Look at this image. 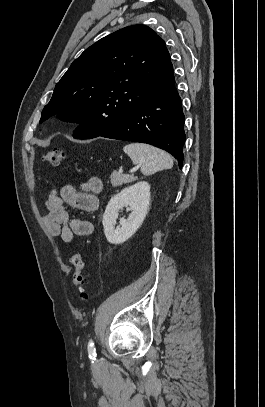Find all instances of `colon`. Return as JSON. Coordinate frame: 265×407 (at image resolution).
<instances>
[{"mask_svg":"<svg viewBox=\"0 0 265 407\" xmlns=\"http://www.w3.org/2000/svg\"><path fill=\"white\" fill-rule=\"evenodd\" d=\"M65 156H66V153L64 150L55 148V149L47 151L43 156V160H44V162H46L50 165L58 166L65 159ZM70 261L73 266V284L79 294V297L82 300H87L88 294L85 290L87 278L83 274L84 261H83L82 254L81 253L73 254L70 258Z\"/></svg>","mask_w":265,"mask_h":407,"instance_id":"1","label":"colon"}]
</instances>
